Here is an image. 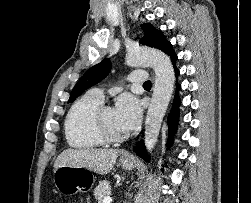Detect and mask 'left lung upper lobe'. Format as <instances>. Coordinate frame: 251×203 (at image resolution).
<instances>
[{
	"mask_svg": "<svg viewBox=\"0 0 251 203\" xmlns=\"http://www.w3.org/2000/svg\"><path fill=\"white\" fill-rule=\"evenodd\" d=\"M141 28L144 31V36L140 40L141 44L164 51L166 46L170 43L166 40L163 33L160 30L154 28L150 23L141 25ZM110 69L111 62L107 58L89 68L75 85L68 102L73 101L86 89L103 80L110 72Z\"/></svg>",
	"mask_w": 251,
	"mask_h": 203,
	"instance_id": "obj_1",
	"label": "left lung upper lobe"
}]
</instances>
